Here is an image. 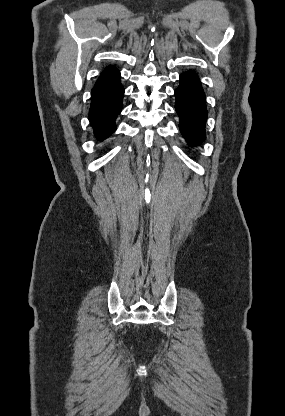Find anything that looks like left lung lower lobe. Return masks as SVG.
I'll list each match as a JSON object with an SVG mask.
<instances>
[{"instance_id": "left-lung-lower-lobe-1", "label": "left lung lower lobe", "mask_w": 285, "mask_h": 416, "mask_svg": "<svg viewBox=\"0 0 285 416\" xmlns=\"http://www.w3.org/2000/svg\"><path fill=\"white\" fill-rule=\"evenodd\" d=\"M180 80V86L175 90V109L180 117L179 128L189 144L199 145L205 139V94L197 74L193 71L181 74Z\"/></svg>"}]
</instances>
